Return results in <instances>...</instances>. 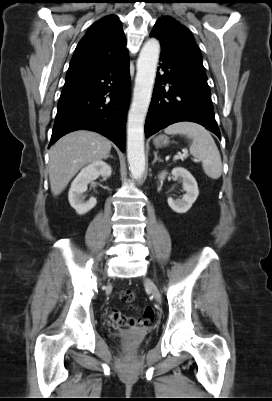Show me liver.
Returning a JSON list of instances; mask_svg holds the SVG:
<instances>
[{
  "instance_id": "6515ba94",
  "label": "liver",
  "mask_w": 272,
  "mask_h": 401,
  "mask_svg": "<svg viewBox=\"0 0 272 401\" xmlns=\"http://www.w3.org/2000/svg\"><path fill=\"white\" fill-rule=\"evenodd\" d=\"M111 142L99 133L78 130L60 138L50 149L51 192L58 196L85 165L106 159Z\"/></svg>"
}]
</instances>
